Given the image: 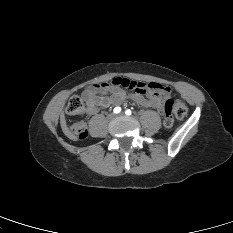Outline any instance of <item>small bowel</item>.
<instances>
[{"label": "small bowel", "instance_id": "1", "mask_svg": "<svg viewBox=\"0 0 233 233\" xmlns=\"http://www.w3.org/2000/svg\"><path fill=\"white\" fill-rule=\"evenodd\" d=\"M119 79L123 78H115L114 80ZM143 84L145 86L156 85L159 89L157 91H134L133 93L128 94L120 85L102 83L90 86L82 93L87 104V112L91 115H95L101 109L120 105L127 98L133 100L139 106L151 107L158 112H162L164 99L167 98L170 93L169 88L154 82Z\"/></svg>", "mask_w": 233, "mask_h": 233}]
</instances>
